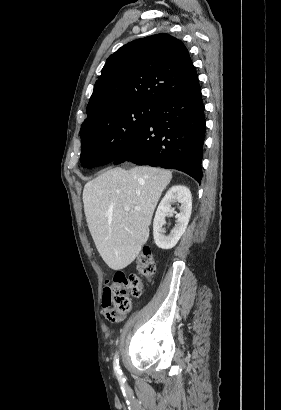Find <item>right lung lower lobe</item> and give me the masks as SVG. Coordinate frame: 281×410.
Masks as SVG:
<instances>
[{
  "label": "right lung lower lobe",
  "instance_id": "98d812e1",
  "mask_svg": "<svg viewBox=\"0 0 281 410\" xmlns=\"http://www.w3.org/2000/svg\"><path fill=\"white\" fill-rule=\"evenodd\" d=\"M206 119L199 83L163 99L153 108L150 122L113 161L177 169L200 183Z\"/></svg>",
  "mask_w": 281,
  "mask_h": 410
}]
</instances>
